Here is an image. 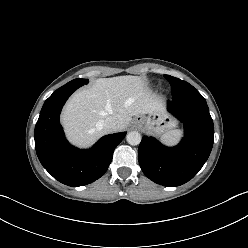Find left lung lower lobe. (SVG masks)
Instances as JSON below:
<instances>
[{"label": "left lung lower lobe", "instance_id": "left-lung-lower-lobe-1", "mask_svg": "<svg viewBox=\"0 0 248 248\" xmlns=\"http://www.w3.org/2000/svg\"><path fill=\"white\" fill-rule=\"evenodd\" d=\"M168 110L184 122V138L169 148L145 136L139 145L138 160L143 173L155 183L179 186L192 179L207 161L214 126L202 95L172 98Z\"/></svg>", "mask_w": 248, "mask_h": 248}]
</instances>
